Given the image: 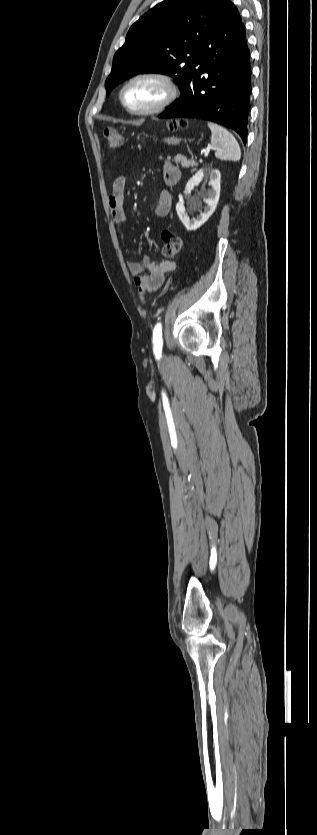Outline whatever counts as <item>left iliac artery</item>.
Here are the masks:
<instances>
[{
    "label": "left iliac artery",
    "mask_w": 317,
    "mask_h": 835,
    "mask_svg": "<svg viewBox=\"0 0 317 835\" xmlns=\"http://www.w3.org/2000/svg\"><path fill=\"white\" fill-rule=\"evenodd\" d=\"M153 349L157 358L161 356L163 339H162V325L157 323L153 330Z\"/></svg>",
    "instance_id": "44dca946"
}]
</instances>
